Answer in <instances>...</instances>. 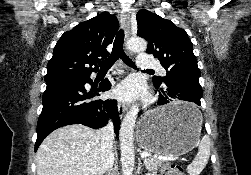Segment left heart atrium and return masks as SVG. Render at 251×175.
Here are the masks:
<instances>
[{
	"label": "left heart atrium",
	"mask_w": 251,
	"mask_h": 175,
	"mask_svg": "<svg viewBox=\"0 0 251 175\" xmlns=\"http://www.w3.org/2000/svg\"><path fill=\"white\" fill-rule=\"evenodd\" d=\"M113 94L121 100H132L136 97H146V91L143 84L133 78H127L120 82L114 89Z\"/></svg>",
	"instance_id": "1"
}]
</instances>
